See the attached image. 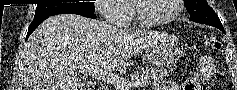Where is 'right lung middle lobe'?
<instances>
[{
  "instance_id": "right-lung-middle-lobe-1",
  "label": "right lung middle lobe",
  "mask_w": 237,
  "mask_h": 90,
  "mask_svg": "<svg viewBox=\"0 0 237 90\" xmlns=\"http://www.w3.org/2000/svg\"><path fill=\"white\" fill-rule=\"evenodd\" d=\"M72 10H83L94 13L95 7L93 2L37 4L34 20Z\"/></svg>"
}]
</instances>
